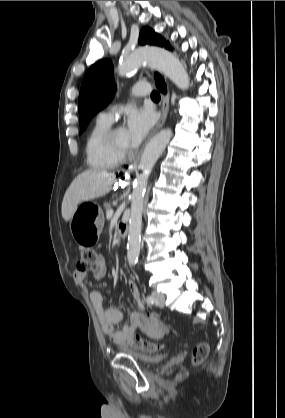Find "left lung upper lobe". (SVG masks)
Returning a JSON list of instances; mask_svg holds the SVG:
<instances>
[{"label":"left lung upper lobe","mask_w":285,"mask_h":418,"mask_svg":"<svg viewBox=\"0 0 285 418\" xmlns=\"http://www.w3.org/2000/svg\"><path fill=\"white\" fill-rule=\"evenodd\" d=\"M139 43L170 48L164 38L149 27L141 29ZM158 76L156 73L155 78ZM115 91L112 62L103 59L93 64L83 78L79 94L80 133L86 129L91 118L112 101Z\"/></svg>","instance_id":"left-lung-upper-lobe-1"}]
</instances>
